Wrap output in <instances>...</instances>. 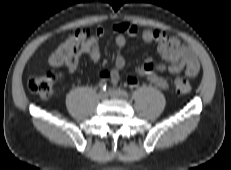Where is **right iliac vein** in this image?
<instances>
[{
    "label": "right iliac vein",
    "instance_id": "63e3f726",
    "mask_svg": "<svg viewBox=\"0 0 231 170\" xmlns=\"http://www.w3.org/2000/svg\"><path fill=\"white\" fill-rule=\"evenodd\" d=\"M98 96H99V98H100V99H106V97H107V93H106V92L101 91V92H99Z\"/></svg>",
    "mask_w": 231,
    "mask_h": 170
}]
</instances>
